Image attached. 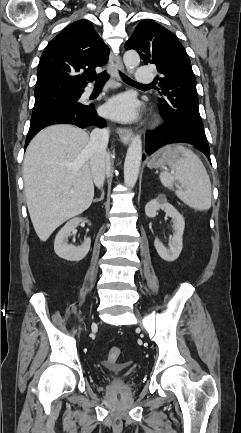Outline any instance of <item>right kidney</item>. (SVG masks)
Instances as JSON below:
<instances>
[{"mask_svg": "<svg viewBox=\"0 0 241 433\" xmlns=\"http://www.w3.org/2000/svg\"><path fill=\"white\" fill-rule=\"evenodd\" d=\"M81 222H87L89 225H91V223L86 219L73 218L68 221L56 235L54 241V251L60 258L68 261H80L88 254L91 245L90 238L85 239L81 246H73L68 244V237L72 232L75 231L76 227Z\"/></svg>", "mask_w": 241, "mask_h": 433, "instance_id": "1", "label": "right kidney"}]
</instances>
